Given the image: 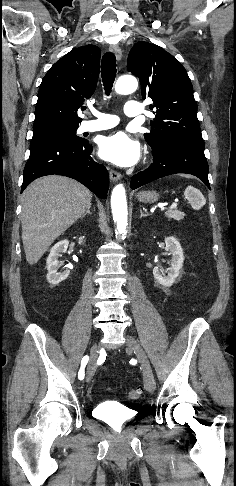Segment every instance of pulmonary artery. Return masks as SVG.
<instances>
[{"label": "pulmonary artery", "mask_w": 236, "mask_h": 486, "mask_svg": "<svg viewBox=\"0 0 236 486\" xmlns=\"http://www.w3.org/2000/svg\"><path fill=\"white\" fill-rule=\"evenodd\" d=\"M124 112L129 117H135L141 115L142 108L139 102L130 100L126 102ZM91 113L96 118L93 120H84L79 127V132L84 133L105 130L112 128L119 123V119L115 115L102 113L95 109H91Z\"/></svg>", "instance_id": "1"}]
</instances>
